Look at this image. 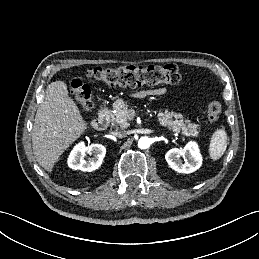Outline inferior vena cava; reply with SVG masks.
I'll list each match as a JSON object with an SVG mask.
<instances>
[{
    "label": "inferior vena cava",
    "instance_id": "obj_1",
    "mask_svg": "<svg viewBox=\"0 0 259 259\" xmlns=\"http://www.w3.org/2000/svg\"><path fill=\"white\" fill-rule=\"evenodd\" d=\"M112 134L118 138H123V137H126L127 135L126 131L124 130H116L115 132H112Z\"/></svg>",
    "mask_w": 259,
    "mask_h": 259
}]
</instances>
